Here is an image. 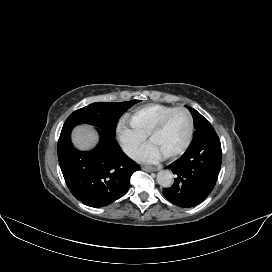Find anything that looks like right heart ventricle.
Listing matches in <instances>:
<instances>
[{
  "mask_svg": "<svg viewBox=\"0 0 272 272\" xmlns=\"http://www.w3.org/2000/svg\"><path fill=\"white\" fill-rule=\"evenodd\" d=\"M172 108L164 104H147L135 108L127 119L132 128L147 136L157 120Z\"/></svg>",
  "mask_w": 272,
  "mask_h": 272,
  "instance_id": "e07e8e85",
  "label": "right heart ventricle"
}]
</instances>
